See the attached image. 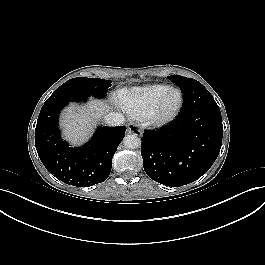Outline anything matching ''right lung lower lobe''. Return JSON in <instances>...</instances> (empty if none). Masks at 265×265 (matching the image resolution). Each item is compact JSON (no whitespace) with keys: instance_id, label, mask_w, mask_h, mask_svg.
Segmentation results:
<instances>
[{"instance_id":"obj_1","label":"right lung lower lobe","mask_w":265,"mask_h":265,"mask_svg":"<svg viewBox=\"0 0 265 265\" xmlns=\"http://www.w3.org/2000/svg\"><path fill=\"white\" fill-rule=\"evenodd\" d=\"M67 103L43 105L35 129V146L46 169L62 182L87 187L105 181L126 127H99L80 148L61 139L58 115Z\"/></svg>"}]
</instances>
